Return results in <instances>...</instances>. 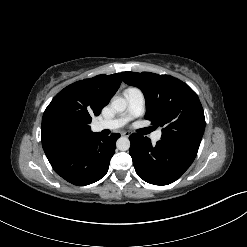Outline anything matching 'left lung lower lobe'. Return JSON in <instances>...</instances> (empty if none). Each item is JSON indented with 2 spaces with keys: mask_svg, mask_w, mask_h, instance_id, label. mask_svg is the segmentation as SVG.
<instances>
[{
  "mask_svg": "<svg viewBox=\"0 0 247 247\" xmlns=\"http://www.w3.org/2000/svg\"><path fill=\"white\" fill-rule=\"evenodd\" d=\"M129 139V153L136 173L154 185H168L176 181L189 168L197 154L163 139L156 145L139 134H131Z\"/></svg>",
  "mask_w": 247,
  "mask_h": 247,
  "instance_id": "0a47b994",
  "label": "left lung lower lobe"
}]
</instances>
